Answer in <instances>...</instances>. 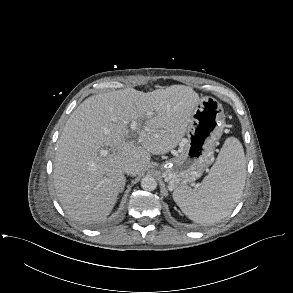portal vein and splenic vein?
<instances>
[{"label":"portal vein and splenic vein","mask_w":293,"mask_h":293,"mask_svg":"<svg viewBox=\"0 0 293 293\" xmlns=\"http://www.w3.org/2000/svg\"><path fill=\"white\" fill-rule=\"evenodd\" d=\"M137 126V123L135 122V121H133L132 123H131V125H130V128L132 129V130H134L135 129V127ZM101 155H107V151H103V152H101Z\"/></svg>","instance_id":"18ae733b"}]
</instances>
